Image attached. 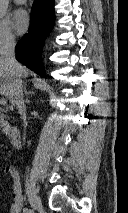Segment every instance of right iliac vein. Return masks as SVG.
<instances>
[{"mask_svg": "<svg viewBox=\"0 0 128 213\" xmlns=\"http://www.w3.org/2000/svg\"><path fill=\"white\" fill-rule=\"evenodd\" d=\"M26 189L29 196V201L31 207L35 210L41 206V201L36 193L35 187L31 179H29L26 183Z\"/></svg>", "mask_w": 128, "mask_h": 213, "instance_id": "obj_1", "label": "right iliac vein"}]
</instances>
